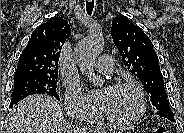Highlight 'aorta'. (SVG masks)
I'll use <instances>...</instances> for the list:
<instances>
[{"label": "aorta", "mask_w": 184, "mask_h": 133, "mask_svg": "<svg viewBox=\"0 0 184 133\" xmlns=\"http://www.w3.org/2000/svg\"><path fill=\"white\" fill-rule=\"evenodd\" d=\"M104 40L102 35H89L80 41L75 49V60L80 71L86 75L93 86H101L103 77L95 75L93 65L103 50Z\"/></svg>", "instance_id": "obj_1"}]
</instances>
